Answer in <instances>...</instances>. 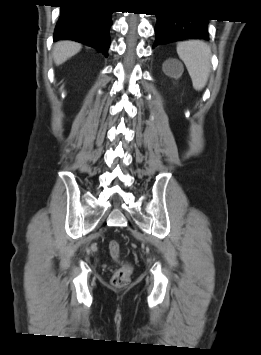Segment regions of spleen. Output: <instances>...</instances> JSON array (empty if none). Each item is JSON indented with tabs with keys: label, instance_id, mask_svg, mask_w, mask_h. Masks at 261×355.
I'll list each match as a JSON object with an SVG mask.
<instances>
[{
	"label": "spleen",
	"instance_id": "spleen-1",
	"mask_svg": "<svg viewBox=\"0 0 261 355\" xmlns=\"http://www.w3.org/2000/svg\"><path fill=\"white\" fill-rule=\"evenodd\" d=\"M179 58L184 62L195 90H202L208 80L211 68V49L203 41L191 40L177 45Z\"/></svg>",
	"mask_w": 261,
	"mask_h": 355
}]
</instances>
